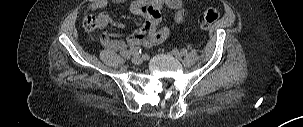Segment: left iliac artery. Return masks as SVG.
<instances>
[{
  "mask_svg": "<svg viewBox=\"0 0 303 127\" xmlns=\"http://www.w3.org/2000/svg\"><path fill=\"white\" fill-rule=\"evenodd\" d=\"M181 54L182 55H186L187 54V50L185 48L181 49Z\"/></svg>",
  "mask_w": 303,
  "mask_h": 127,
  "instance_id": "44dca946",
  "label": "left iliac artery"
}]
</instances>
